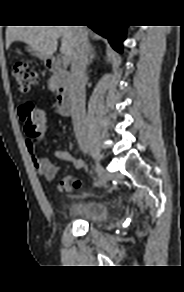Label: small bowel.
<instances>
[{
	"label": "small bowel",
	"instance_id": "obj_1",
	"mask_svg": "<svg viewBox=\"0 0 184 292\" xmlns=\"http://www.w3.org/2000/svg\"><path fill=\"white\" fill-rule=\"evenodd\" d=\"M26 145L31 154L33 166L38 174L43 176L46 180L51 181L57 174L59 167L52 164L48 159L39 157L35 154V143L28 136L26 138ZM71 151L56 150L53 156L59 160L70 162L75 169H81L84 166L82 159L77 155L73 144H70ZM59 190L62 192L71 189L69 177L63 178L59 182Z\"/></svg>",
	"mask_w": 184,
	"mask_h": 292
}]
</instances>
